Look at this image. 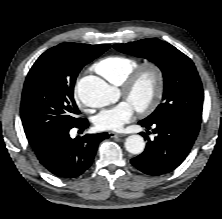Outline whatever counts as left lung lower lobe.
<instances>
[{"label":"left lung lower lobe","mask_w":222,"mask_h":219,"mask_svg":"<svg viewBox=\"0 0 222 219\" xmlns=\"http://www.w3.org/2000/svg\"><path fill=\"white\" fill-rule=\"evenodd\" d=\"M143 127L152 130L156 137L148 141L145 151L131 159V163L148 175H162L177 168L187 157L198 135L200 123L179 116H170L157 121H140ZM149 133V131H147Z\"/></svg>","instance_id":"1"}]
</instances>
